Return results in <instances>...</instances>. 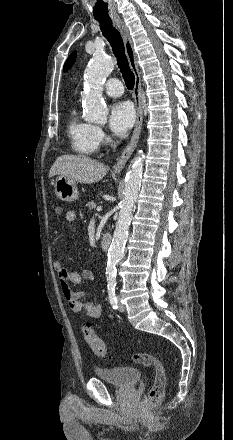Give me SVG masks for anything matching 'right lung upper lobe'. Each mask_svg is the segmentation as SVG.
I'll return each mask as SVG.
<instances>
[{
    "label": "right lung upper lobe",
    "instance_id": "right-lung-upper-lobe-1",
    "mask_svg": "<svg viewBox=\"0 0 233 440\" xmlns=\"http://www.w3.org/2000/svg\"><path fill=\"white\" fill-rule=\"evenodd\" d=\"M75 58H76V52H73L64 65V68H63L64 71H67L68 69L71 68V66L73 65V63L75 61Z\"/></svg>",
    "mask_w": 233,
    "mask_h": 440
}]
</instances>
